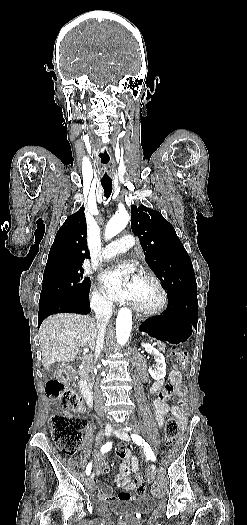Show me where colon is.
<instances>
[{"label": "colon", "instance_id": "colon-1", "mask_svg": "<svg viewBox=\"0 0 247 525\" xmlns=\"http://www.w3.org/2000/svg\"><path fill=\"white\" fill-rule=\"evenodd\" d=\"M173 362L177 369L182 371L187 363V353L176 348L172 354ZM46 394L48 397L60 402L61 406L67 409V412L55 414L50 421L52 437L58 448L66 456L75 455L81 445L83 431L87 427V420L83 414V401L78 393L72 387H67L63 382L57 379H50L46 383ZM184 401H178L182 406ZM178 434V422L172 415L167 417L165 423V441L172 443ZM146 483L143 476L137 479V495L144 494Z\"/></svg>", "mask_w": 247, "mask_h": 525}]
</instances>
